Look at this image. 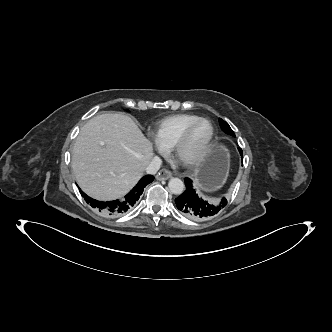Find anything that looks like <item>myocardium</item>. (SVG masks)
Masks as SVG:
<instances>
[{"label":"myocardium","instance_id":"1","mask_svg":"<svg viewBox=\"0 0 332 332\" xmlns=\"http://www.w3.org/2000/svg\"><path fill=\"white\" fill-rule=\"evenodd\" d=\"M201 122H207L210 126V134L204 145L199 149V151L193 155L191 158L185 159L182 157L181 152L182 148L185 145L189 135L193 129ZM215 139V127L211 120L207 118L200 117L189 124L184 131L181 133L176 143L172 148L173 157L184 167L194 168L198 166L202 160L205 158L207 153L210 151Z\"/></svg>","mask_w":332,"mask_h":332}]
</instances>
